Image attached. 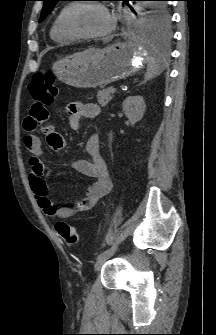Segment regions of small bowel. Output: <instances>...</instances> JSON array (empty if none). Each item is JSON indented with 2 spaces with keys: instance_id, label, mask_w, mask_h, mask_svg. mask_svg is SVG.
I'll return each instance as SVG.
<instances>
[{
  "instance_id": "c3829d8e",
  "label": "small bowel",
  "mask_w": 216,
  "mask_h": 335,
  "mask_svg": "<svg viewBox=\"0 0 216 335\" xmlns=\"http://www.w3.org/2000/svg\"><path fill=\"white\" fill-rule=\"evenodd\" d=\"M69 126L78 129L84 118H94L100 113V108L95 103L72 102L68 105ZM52 109L45 108L44 104H32L29 119L25 129L35 134H45L49 145L55 151L66 148L65 140L55 132L53 126L46 124L51 119ZM29 133L24 138V144L30 158V185L40 209L53 218H68L91 209L112 187L107 165L100 154L99 138L91 134L86 142L85 151L88 160L78 159L73 162V168L84 176L94 178V182L87 188L84 198L67 207H58L49 196V190L43 178L45 163L41 140L37 135Z\"/></svg>"
}]
</instances>
